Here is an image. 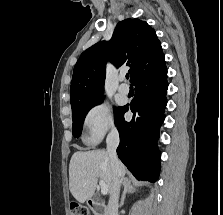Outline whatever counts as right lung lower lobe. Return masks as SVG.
<instances>
[{
    "mask_svg": "<svg viewBox=\"0 0 223 215\" xmlns=\"http://www.w3.org/2000/svg\"><path fill=\"white\" fill-rule=\"evenodd\" d=\"M134 86L135 97L130 108L123 106L116 122L120 134L117 154L138 180L155 182L160 170L157 140L167 104V69L136 81ZM129 109L134 115L127 122L124 113Z\"/></svg>",
    "mask_w": 223,
    "mask_h": 215,
    "instance_id": "1",
    "label": "right lung lower lobe"
}]
</instances>
